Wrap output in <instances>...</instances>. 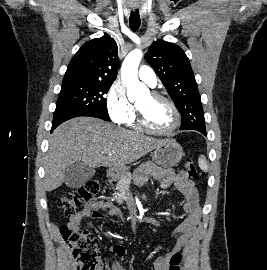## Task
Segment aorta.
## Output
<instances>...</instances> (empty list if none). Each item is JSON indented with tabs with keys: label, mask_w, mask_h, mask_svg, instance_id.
<instances>
[{
	"label": "aorta",
	"mask_w": 267,
	"mask_h": 270,
	"mask_svg": "<svg viewBox=\"0 0 267 270\" xmlns=\"http://www.w3.org/2000/svg\"><path fill=\"white\" fill-rule=\"evenodd\" d=\"M142 59V51L134 49L125 58L121 67V79L127 88V96L134 101L148 93V88L138 79V66Z\"/></svg>",
	"instance_id": "obj_1"
}]
</instances>
